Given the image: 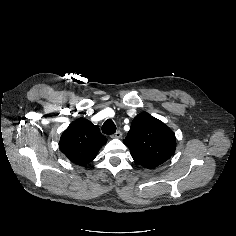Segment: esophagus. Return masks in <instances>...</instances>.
Segmentation results:
<instances>
[{"mask_svg": "<svg viewBox=\"0 0 236 236\" xmlns=\"http://www.w3.org/2000/svg\"><path fill=\"white\" fill-rule=\"evenodd\" d=\"M112 137H114V138H121L122 137V132L120 130H118L116 133H114L112 135Z\"/></svg>", "mask_w": 236, "mask_h": 236, "instance_id": "obj_1", "label": "esophagus"}]
</instances>
